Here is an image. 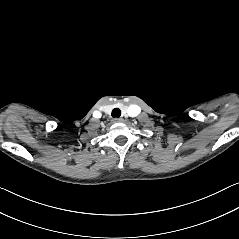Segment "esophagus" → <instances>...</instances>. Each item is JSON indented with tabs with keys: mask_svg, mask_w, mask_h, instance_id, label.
Listing matches in <instances>:
<instances>
[{
	"mask_svg": "<svg viewBox=\"0 0 239 239\" xmlns=\"http://www.w3.org/2000/svg\"><path fill=\"white\" fill-rule=\"evenodd\" d=\"M114 121H115V122H123L124 119H123L122 117H120V118H115Z\"/></svg>",
	"mask_w": 239,
	"mask_h": 239,
	"instance_id": "1",
	"label": "esophagus"
}]
</instances>
